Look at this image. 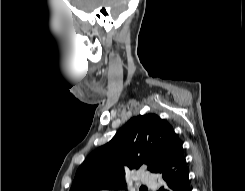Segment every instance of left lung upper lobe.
I'll list each match as a JSON object with an SVG mask.
<instances>
[{
	"instance_id": "1",
	"label": "left lung upper lobe",
	"mask_w": 245,
	"mask_h": 191,
	"mask_svg": "<svg viewBox=\"0 0 245 191\" xmlns=\"http://www.w3.org/2000/svg\"><path fill=\"white\" fill-rule=\"evenodd\" d=\"M182 147L173 128L156 114L131 118L107 144L93 151L76 172L70 191L120 189L129 170L146 165L159 173Z\"/></svg>"
}]
</instances>
